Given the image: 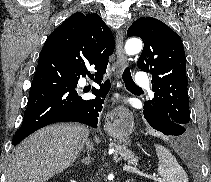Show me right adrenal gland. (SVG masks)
Listing matches in <instances>:
<instances>
[{
  "label": "right adrenal gland",
  "instance_id": "obj_1",
  "mask_svg": "<svg viewBox=\"0 0 211 182\" xmlns=\"http://www.w3.org/2000/svg\"><path fill=\"white\" fill-rule=\"evenodd\" d=\"M86 148H87V157L82 159V163H84V164H88L89 163V161L91 159V157L89 155V151L91 152L93 150V146H92V144L90 143L89 140L86 142Z\"/></svg>",
  "mask_w": 211,
  "mask_h": 182
}]
</instances>
